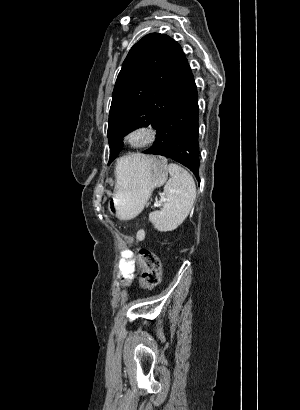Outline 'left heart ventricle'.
<instances>
[{"instance_id":"left-heart-ventricle-1","label":"left heart ventricle","mask_w":300,"mask_h":410,"mask_svg":"<svg viewBox=\"0 0 300 410\" xmlns=\"http://www.w3.org/2000/svg\"><path fill=\"white\" fill-rule=\"evenodd\" d=\"M137 140H139V138H138V137H136V138H134V139H133V141H137Z\"/></svg>"}]
</instances>
